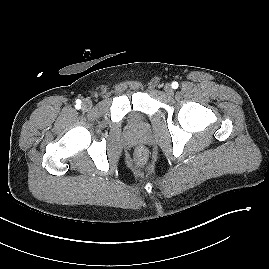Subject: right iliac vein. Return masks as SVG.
I'll use <instances>...</instances> for the list:
<instances>
[{
    "label": "right iliac vein",
    "mask_w": 269,
    "mask_h": 269,
    "mask_svg": "<svg viewBox=\"0 0 269 269\" xmlns=\"http://www.w3.org/2000/svg\"><path fill=\"white\" fill-rule=\"evenodd\" d=\"M91 107H92V102H91V100H89V99H85V100L83 101V103H82V108H83L84 110H89V109H91Z\"/></svg>",
    "instance_id": "1"
}]
</instances>
